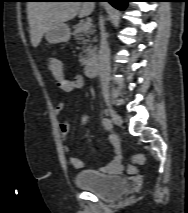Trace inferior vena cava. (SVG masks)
Wrapping results in <instances>:
<instances>
[{
  "instance_id": "inferior-vena-cava-1",
  "label": "inferior vena cava",
  "mask_w": 188,
  "mask_h": 213,
  "mask_svg": "<svg viewBox=\"0 0 188 213\" xmlns=\"http://www.w3.org/2000/svg\"><path fill=\"white\" fill-rule=\"evenodd\" d=\"M100 31H101L100 50H99L100 78L103 91L107 92L110 75V53L107 43V36L105 33V28L102 20H100Z\"/></svg>"
}]
</instances>
